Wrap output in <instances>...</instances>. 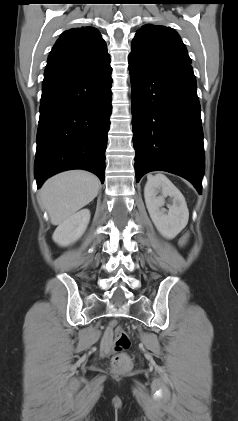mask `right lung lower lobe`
Returning <instances> with one entry per match:
<instances>
[{
  "label": "right lung lower lobe",
  "instance_id": "98d812e1",
  "mask_svg": "<svg viewBox=\"0 0 238 421\" xmlns=\"http://www.w3.org/2000/svg\"><path fill=\"white\" fill-rule=\"evenodd\" d=\"M111 73L110 61L45 69L35 159L38 188L70 169L88 170L104 182Z\"/></svg>",
  "mask_w": 238,
  "mask_h": 421
}]
</instances>
